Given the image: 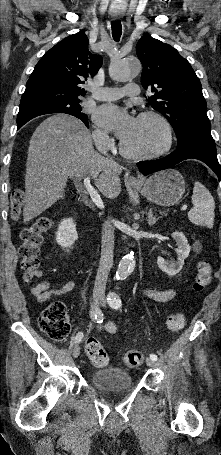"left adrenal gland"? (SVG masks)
<instances>
[{
    "instance_id": "obj_1",
    "label": "left adrenal gland",
    "mask_w": 221,
    "mask_h": 455,
    "mask_svg": "<svg viewBox=\"0 0 221 455\" xmlns=\"http://www.w3.org/2000/svg\"><path fill=\"white\" fill-rule=\"evenodd\" d=\"M159 220V217L157 218L154 216L152 209L149 210L147 214V222L150 226L154 225L157 221Z\"/></svg>"
}]
</instances>
